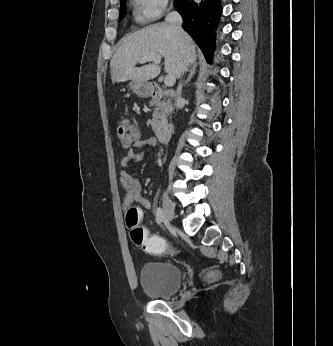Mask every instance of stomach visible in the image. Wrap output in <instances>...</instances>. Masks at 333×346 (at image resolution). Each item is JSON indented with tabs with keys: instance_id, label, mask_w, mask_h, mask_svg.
I'll return each instance as SVG.
<instances>
[{
	"instance_id": "0dacf381",
	"label": "stomach",
	"mask_w": 333,
	"mask_h": 346,
	"mask_svg": "<svg viewBox=\"0 0 333 346\" xmlns=\"http://www.w3.org/2000/svg\"><path fill=\"white\" fill-rule=\"evenodd\" d=\"M130 88L133 93H135L140 98H147L151 94V84L149 82H141L132 80L129 83Z\"/></svg>"
}]
</instances>
